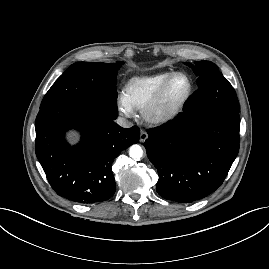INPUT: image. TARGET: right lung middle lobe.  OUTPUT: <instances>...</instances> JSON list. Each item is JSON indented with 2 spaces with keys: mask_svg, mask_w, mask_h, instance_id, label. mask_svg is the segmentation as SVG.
<instances>
[{
  "mask_svg": "<svg viewBox=\"0 0 269 269\" xmlns=\"http://www.w3.org/2000/svg\"><path fill=\"white\" fill-rule=\"evenodd\" d=\"M122 63L72 64L46 93L40 109L56 103H73L116 118V76Z\"/></svg>",
  "mask_w": 269,
  "mask_h": 269,
  "instance_id": "1",
  "label": "right lung middle lobe"
}]
</instances>
